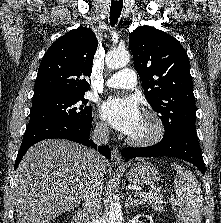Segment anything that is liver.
<instances>
[{"instance_id":"1","label":"liver","mask_w":221,"mask_h":223,"mask_svg":"<svg viewBox=\"0 0 221 223\" xmlns=\"http://www.w3.org/2000/svg\"><path fill=\"white\" fill-rule=\"evenodd\" d=\"M92 157L86 147L60 139L41 141L21 160L14 177L18 223H48L77 207ZM99 171L107 173L101 157Z\"/></svg>"}]
</instances>
